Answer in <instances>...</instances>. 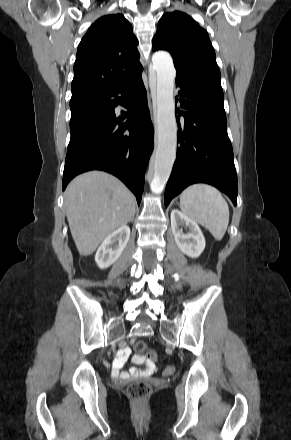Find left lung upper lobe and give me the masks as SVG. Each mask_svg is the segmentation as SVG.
<instances>
[{
    "instance_id": "1",
    "label": "left lung upper lobe",
    "mask_w": 291,
    "mask_h": 440,
    "mask_svg": "<svg viewBox=\"0 0 291 440\" xmlns=\"http://www.w3.org/2000/svg\"><path fill=\"white\" fill-rule=\"evenodd\" d=\"M152 49L170 52L176 81L223 95L220 70L209 36L187 14L165 13L158 23Z\"/></svg>"
}]
</instances>
